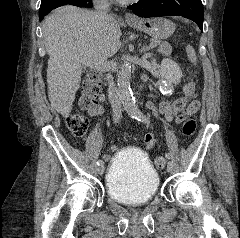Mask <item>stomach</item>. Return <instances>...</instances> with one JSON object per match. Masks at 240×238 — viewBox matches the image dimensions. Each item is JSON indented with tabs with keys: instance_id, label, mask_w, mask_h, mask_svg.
Instances as JSON below:
<instances>
[{
	"instance_id": "0dacf381",
	"label": "stomach",
	"mask_w": 240,
	"mask_h": 238,
	"mask_svg": "<svg viewBox=\"0 0 240 238\" xmlns=\"http://www.w3.org/2000/svg\"><path fill=\"white\" fill-rule=\"evenodd\" d=\"M132 27L155 39H166L175 31V24L165 18L141 19L138 23H129Z\"/></svg>"
}]
</instances>
